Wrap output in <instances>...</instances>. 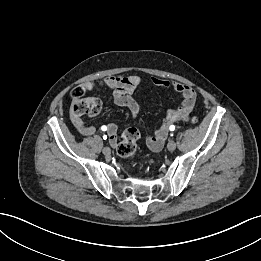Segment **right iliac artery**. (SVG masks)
<instances>
[{
	"instance_id": "right-iliac-artery-1",
	"label": "right iliac artery",
	"mask_w": 261,
	"mask_h": 261,
	"mask_svg": "<svg viewBox=\"0 0 261 261\" xmlns=\"http://www.w3.org/2000/svg\"><path fill=\"white\" fill-rule=\"evenodd\" d=\"M101 129L103 131H106L107 127L106 126H102ZM103 139L106 140L107 139V135H103Z\"/></svg>"
}]
</instances>
